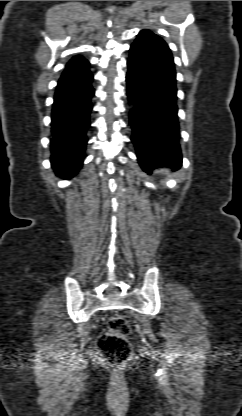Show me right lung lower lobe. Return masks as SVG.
<instances>
[{"instance_id":"right-lung-lower-lobe-1","label":"right lung lower lobe","mask_w":242,"mask_h":416,"mask_svg":"<svg viewBox=\"0 0 242 416\" xmlns=\"http://www.w3.org/2000/svg\"><path fill=\"white\" fill-rule=\"evenodd\" d=\"M89 69L78 75L63 72L52 109L51 164L58 176L70 178L82 167L90 127L91 86Z\"/></svg>"}]
</instances>
